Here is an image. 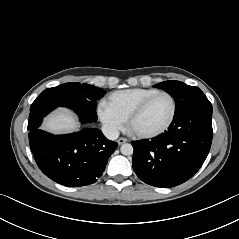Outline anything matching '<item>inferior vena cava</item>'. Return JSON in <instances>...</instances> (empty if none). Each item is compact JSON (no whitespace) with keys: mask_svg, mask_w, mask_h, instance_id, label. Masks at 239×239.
Listing matches in <instances>:
<instances>
[{"mask_svg":"<svg viewBox=\"0 0 239 239\" xmlns=\"http://www.w3.org/2000/svg\"><path fill=\"white\" fill-rule=\"evenodd\" d=\"M101 130L104 136L109 140H116L119 137L118 129L110 124H104Z\"/></svg>","mask_w":239,"mask_h":239,"instance_id":"602c4592","label":"inferior vena cava"}]
</instances>
